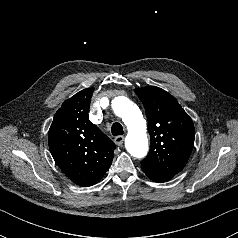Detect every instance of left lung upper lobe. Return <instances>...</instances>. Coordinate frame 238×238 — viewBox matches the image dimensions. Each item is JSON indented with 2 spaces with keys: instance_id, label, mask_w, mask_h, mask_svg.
<instances>
[{
  "instance_id": "5c2ea615",
  "label": "left lung upper lobe",
  "mask_w": 238,
  "mask_h": 238,
  "mask_svg": "<svg viewBox=\"0 0 238 238\" xmlns=\"http://www.w3.org/2000/svg\"><path fill=\"white\" fill-rule=\"evenodd\" d=\"M144 105L151 138L149 154L141 166L175 176L186 165L194 147L195 130L178 101L158 87L135 89Z\"/></svg>"
}]
</instances>
